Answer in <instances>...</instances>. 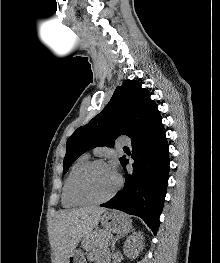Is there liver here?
<instances>
[{"label": "liver", "instance_id": "liver-1", "mask_svg": "<svg viewBox=\"0 0 220 263\" xmlns=\"http://www.w3.org/2000/svg\"><path fill=\"white\" fill-rule=\"evenodd\" d=\"M105 211V208L87 206L57 214L53 230L56 263L67 261L81 239L96 228Z\"/></svg>", "mask_w": 220, "mask_h": 263}]
</instances>
